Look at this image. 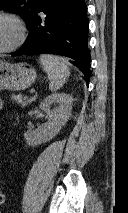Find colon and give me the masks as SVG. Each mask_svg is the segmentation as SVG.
<instances>
[{"instance_id":"5ec220e1","label":"colon","mask_w":128,"mask_h":213,"mask_svg":"<svg viewBox=\"0 0 128 213\" xmlns=\"http://www.w3.org/2000/svg\"><path fill=\"white\" fill-rule=\"evenodd\" d=\"M5 202V194L0 190V205Z\"/></svg>"}]
</instances>
